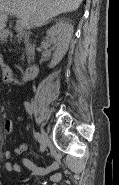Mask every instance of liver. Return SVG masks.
I'll list each match as a JSON object with an SVG mask.
<instances>
[{
	"mask_svg": "<svg viewBox=\"0 0 119 185\" xmlns=\"http://www.w3.org/2000/svg\"><path fill=\"white\" fill-rule=\"evenodd\" d=\"M83 0H0V30L6 26L7 14L19 18L24 28L41 27L54 17L79 8Z\"/></svg>",
	"mask_w": 119,
	"mask_h": 185,
	"instance_id": "1",
	"label": "liver"
}]
</instances>
